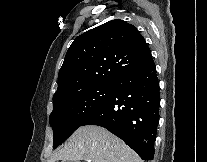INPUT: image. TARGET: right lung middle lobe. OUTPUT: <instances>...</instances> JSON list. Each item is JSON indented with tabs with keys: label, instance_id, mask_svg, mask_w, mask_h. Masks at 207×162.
<instances>
[{
	"label": "right lung middle lobe",
	"instance_id": "obj_1",
	"mask_svg": "<svg viewBox=\"0 0 207 162\" xmlns=\"http://www.w3.org/2000/svg\"><path fill=\"white\" fill-rule=\"evenodd\" d=\"M114 87V84L97 85L53 99L54 108L50 115L54 132L53 148L82 126L109 99Z\"/></svg>",
	"mask_w": 207,
	"mask_h": 162
}]
</instances>
